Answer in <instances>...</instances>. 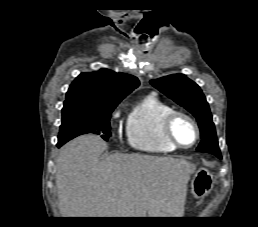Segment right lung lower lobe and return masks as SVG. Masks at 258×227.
Returning <instances> with one entry per match:
<instances>
[{
    "label": "right lung lower lobe",
    "mask_w": 258,
    "mask_h": 227,
    "mask_svg": "<svg viewBox=\"0 0 258 227\" xmlns=\"http://www.w3.org/2000/svg\"><path fill=\"white\" fill-rule=\"evenodd\" d=\"M63 144H64V143H62V142H58V143H57V146L60 147V146H62Z\"/></svg>",
    "instance_id": "right-lung-lower-lobe-1"
}]
</instances>
